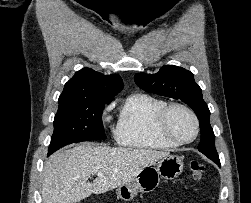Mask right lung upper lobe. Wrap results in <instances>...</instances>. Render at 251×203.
I'll use <instances>...</instances> for the list:
<instances>
[{
    "instance_id": "1",
    "label": "right lung upper lobe",
    "mask_w": 251,
    "mask_h": 203,
    "mask_svg": "<svg viewBox=\"0 0 251 203\" xmlns=\"http://www.w3.org/2000/svg\"><path fill=\"white\" fill-rule=\"evenodd\" d=\"M123 88L118 74L103 75L90 68L76 72L59 97V106L74 102H99L114 99Z\"/></svg>"
}]
</instances>
